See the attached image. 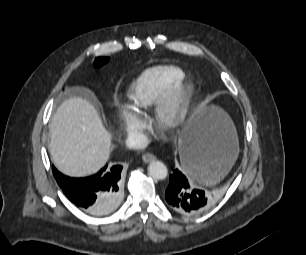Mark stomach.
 I'll use <instances>...</instances> for the list:
<instances>
[{
	"instance_id": "stomach-1",
	"label": "stomach",
	"mask_w": 306,
	"mask_h": 255,
	"mask_svg": "<svg viewBox=\"0 0 306 255\" xmlns=\"http://www.w3.org/2000/svg\"><path fill=\"white\" fill-rule=\"evenodd\" d=\"M189 145H195L215 158L212 177L191 175L193 180L204 185L220 181L229 172L238 154V139L233 122L216 106L201 107L188 120L179 136L181 159Z\"/></svg>"
}]
</instances>
